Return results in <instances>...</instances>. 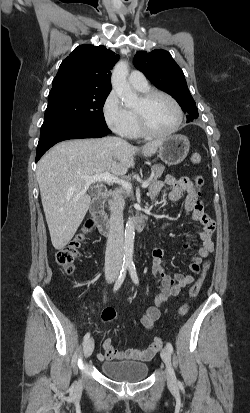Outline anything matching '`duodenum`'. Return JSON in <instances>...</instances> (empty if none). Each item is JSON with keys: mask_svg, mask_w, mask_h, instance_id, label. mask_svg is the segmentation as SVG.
Listing matches in <instances>:
<instances>
[{"mask_svg": "<svg viewBox=\"0 0 250 413\" xmlns=\"http://www.w3.org/2000/svg\"><path fill=\"white\" fill-rule=\"evenodd\" d=\"M108 196L109 193L107 192L97 197L92 202V205L90 207V214L92 216V219L98 230L103 235H108L111 232V223L104 210L105 201ZM132 223L137 230H143L147 224V216L139 215L132 220Z\"/></svg>", "mask_w": 250, "mask_h": 413, "instance_id": "duodenum-1", "label": "duodenum"}]
</instances>
